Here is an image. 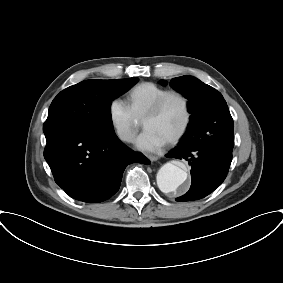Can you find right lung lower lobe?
Listing matches in <instances>:
<instances>
[{"mask_svg":"<svg viewBox=\"0 0 283 283\" xmlns=\"http://www.w3.org/2000/svg\"><path fill=\"white\" fill-rule=\"evenodd\" d=\"M44 157L56 183L70 197L87 203L116 194L127 165L150 163L124 145L115 132H61L47 140Z\"/></svg>","mask_w":283,"mask_h":283,"instance_id":"98d812e1","label":"right lung lower lobe"}]
</instances>
